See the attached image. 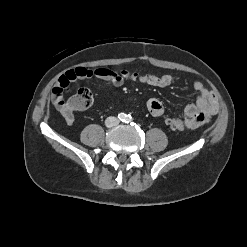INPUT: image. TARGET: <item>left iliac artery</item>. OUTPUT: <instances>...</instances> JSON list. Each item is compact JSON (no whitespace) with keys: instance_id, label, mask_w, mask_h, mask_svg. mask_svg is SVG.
<instances>
[{"instance_id":"left-iliac-artery-1","label":"left iliac artery","mask_w":247,"mask_h":247,"mask_svg":"<svg viewBox=\"0 0 247 247\" xmlns=\"http://www.w3.org/2000/svg\"><path fill=\"white\" fill-rule=\"evenodd\" d=\"M132 120L133 118L131 117V115H127L125 122L129 123V122H132Z\"/></svg>"}]
</instances>
